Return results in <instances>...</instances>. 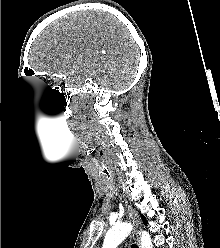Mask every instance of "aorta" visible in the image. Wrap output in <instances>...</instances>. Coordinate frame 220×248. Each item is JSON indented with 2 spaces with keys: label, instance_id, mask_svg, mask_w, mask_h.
<instances>
[{
  "label": "aorta",
  "instance_id": "obj_1",
  "mask_svg": "<svg viewBox=\"0 0 220 248\" xmlns=\"http://www.w3.org/2000/svg\"><path fill=\"white\" fill-rule=\"evenodd\" d=\"M132 225L128 222H122L114 225L106 234L103 248H117L118 245L130 234ZM153 248L152 240L148 232H141V247Z\"/></svg>",
  "mask_w": 220,
  "mask_h": 248
}]
</instances>
